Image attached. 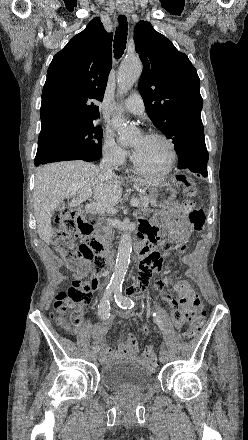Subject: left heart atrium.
<instances>
[{
    "mask_svg": "<svg viewBox=\"0 0 248 440\" xmlns=\"http://www.w3.org/2000/svg\"><path fill=\"white\" fill-rule=\"evenodd\" d=\"M136 153V148L133 149V155Z\"/></svg>",
    "mask_w": 248,
    "mask_h": 440,
    "instance_id": "1",
    "label": "left heart atrium"
}]
</instances>
